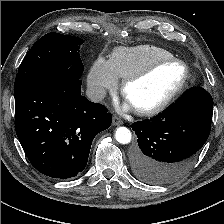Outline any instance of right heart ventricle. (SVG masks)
I'll return each mask as SVG.
<instances>
[{
	"label": "right heart ventricle",
	"mask_w": 224,
	"mask_h": 224,
	"mask_svg": "<svg viewBox=\"0 0 224 224\" xmlns=\"http://www.w3.org/2000/svg\"><path fill=\"white\" fill-rule=\"evenodd\" d=\"M173 57L166 49L155 45L116 48L111 55L110 65L118 78L125 79L155 60Z\"/></svg>",
	"instance_id": "right-heart-ventricle-1"
}]
</instances>
